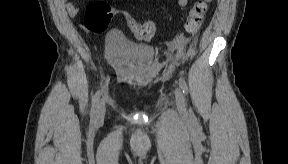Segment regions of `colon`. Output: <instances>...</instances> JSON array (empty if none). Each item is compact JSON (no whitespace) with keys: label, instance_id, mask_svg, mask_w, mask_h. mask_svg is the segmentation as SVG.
Listing matches in <instances>:
<instances>
[{"label":"colon","instance_id":"5ec220e1","mask_svg":"<svg viewBox=\"0 0 288 164\" xmlns=\"http://www.w3.org/2000/svg\"><path fill=\"white\" fill-rule=\"evenodd\" d=\"M207 6V0H200L189 10L185 27L190 35H195L201 27ZM114 15L115 9L105 0L91 1L86 10L84 26L92 32L102 33L108 28ZM126 24L128 29L142 41H149L153 37L154 21L141 23L133 17H128Z\"/></svg>","mask_w":288,"mask_h":164}]
</instances>
